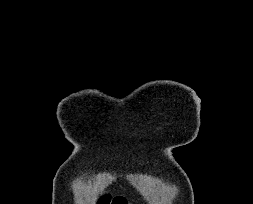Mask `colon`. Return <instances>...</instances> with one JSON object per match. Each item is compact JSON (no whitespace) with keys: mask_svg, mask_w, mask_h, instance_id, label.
Wrapping results in <instances>:
<instances>
[{"mask_svg":"<svg viewBox=\"0 0 253 204\" xmlns=\"http://www.w3.org/2000/svg\"><path fill=\"white\" fill-rule=\"evenodd\" d=\"M97 204H126L122 198L114 197L111 198L108 194H102L98 200Z\"/></svg>","mask_w":253,"mask_h":204,"instance_id":"obj_1","label":"colon"}]
</instances>
